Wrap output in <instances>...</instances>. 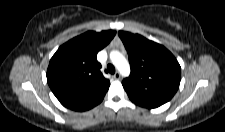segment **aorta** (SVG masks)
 <instances>
[{
  "label": "aorta",
  "mask_w": 225,
  "mask_h": 132,
  "mask_svg": "<svg viewBox=\"0 0 225 132\" xmlns=\"http://www.w3.org/2000/svg\"><path fill=\"white\" fill-rule=\"evenodd\" d=\"M112 64L118 69L120 74L124 77L129 76L130 66L126 58L119 51L113 50L109 54Z\"/></svg>",
  "instance_id": "1"
}]
</instances>
